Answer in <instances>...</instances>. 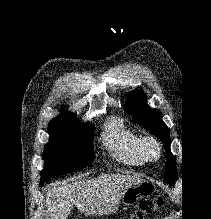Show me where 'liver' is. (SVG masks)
Segmentation results:
<instances>
[{"label": "liver", "instance_id": "6515ba94", "mask_svg": "<svg viewBox=\"0 0 211 219\" xmlns=\"http://www.w3.org/2000/svg\"><path fill=\"white\" fill-rule=\"evenodd\" d=\"M139 183L138 178L123 174L101 175L72 184L52 183L46 193L49 219H67L73 205L86 216L111 214L117 210L123 191Z\"/></svg>", "mask_w": 211, "mask_h": 219}]
</instances>
